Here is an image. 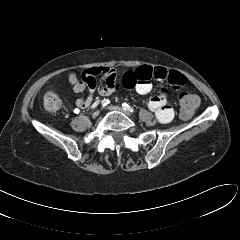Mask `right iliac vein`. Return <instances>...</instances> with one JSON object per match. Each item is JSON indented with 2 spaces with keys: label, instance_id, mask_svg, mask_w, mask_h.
I'll use <instances>...</instances> for the list:
<instances>
[{
  "label": "right iliac vein",
  "instance_id": "obj_1",
  "mask_svg": "<svg viewBox=\"0 0 240 240\" xmlns=\"http://www.w3.org/2000/svg\"><path fill=\"white\" fill-rule=\"evenodd\" d=\"M99 113H100V111H99V110H97V111H94V112H93V114H92V117H93V118H96V117H98Z\"/></svg>",
  "mask_w": 240,
  "mask_h": 240
}]
</instances>
